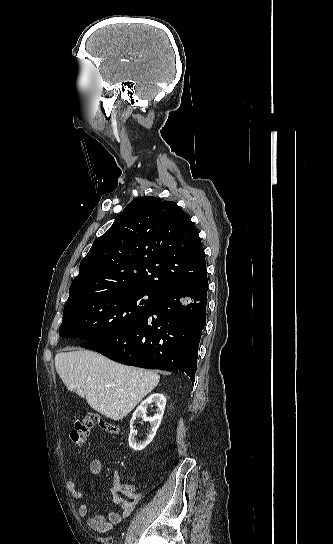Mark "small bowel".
I'll return each mask as SVG.
<instances>
[{
  "label": "small bowel",
  "mask_w": 333,
  "mask_h": 544,
  "mask_svg": "<svg viewBox=\"0 0 333 544\" xmlns=\"http://www.w3.org/2000/svg\"><path fill=\"white\" fill-rule=\"evenodd\" d=\"M102 461L99 458H94L89 464L90 473L94 476H98L102 471ZM113 485L111 487V493L117 495L122 493L126 496V499L121 500L118 503L117 508L109 511L107 514H95L88 518V526L98 533H106L119 524L123 519L127 518L135 509L137 503L141 499V494L136 492L135 486L121 481L120 475L114 472L112 476ZM66 488L71 493L74 499L81 501L83 498V492L76 486L74 480L69 479L66 482ZM78 514L80 517H86L88 515V506L85 503H80L78 506Z\"/></svg>",
  "instance_id": "obj_1"
}]
</instances>
